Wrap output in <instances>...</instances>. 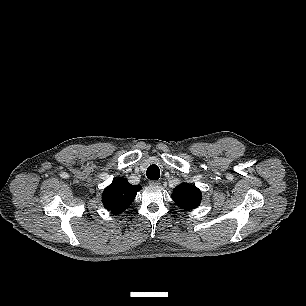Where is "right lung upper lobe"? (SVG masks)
<instances>
[{
	"instance_id": "1",
	"label": "right lung upper lobe",
	"mask_w": 306,
	"mask_h": 306,
	"mask_svg": "<svg viewBox=\"0 0 306 306\" xmlns=\"http://www.w3.org/2000/svg\"><path fill=\"white\" fill-rule=\"evenodd\" d=\"M141 188L140 185H131L125 179L114 180L104 189L103 204L112 213L120 214L130 206Z\"/></svg>"
}]
</instances>
